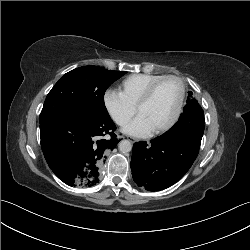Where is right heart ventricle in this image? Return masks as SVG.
<instances>
[{
	"instance_id": "obj_1",
	"label": "right heart ventricle",
	"mask_w": 250,
	"mask_h": 250,
	"mask_svg": "<svg viewBox=\"0 0 250 250\" xmlns=\"http://www.w3.org/2000/svg\"><path fill=\"white\" fill-rule=\"evenodd\" d=\"M161 74H133L124 78L119 87L120 92L134 106L145 90L156 80L163 77Z\"/></svg>"
}]
</instances>
